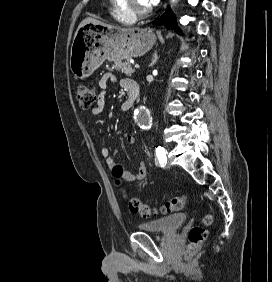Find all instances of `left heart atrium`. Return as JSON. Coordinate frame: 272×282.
I'll return each instance as SVG.
<instances>
[{"label": "left heart atrium", "instance_id": "obj_1", "mask_svg": "<svg viewBox=\"0 0 272 282\" xmlns=\"http://www.w3.org/2000/svg\"><path fill=\"white\" fill-rule=\"evenodd\" d=\"M146 1H147L148 5L150 7H152V6L156 5L159 0H146Z\"/></svg>", "mask_w": 272, "mask_h": 282}]
</instances>
